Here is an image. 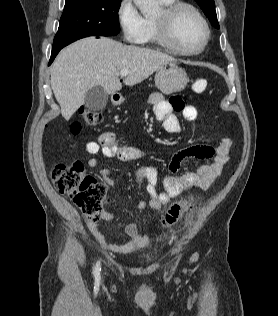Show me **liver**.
Here are the masks:
<instances>
[{
  "label": "liver",
  "instance_id": "obj_1",
  "mask_svg": "<svg viewBox=\"0 0 278 316\" xmlns=\"http://www.w3.org/2000/svg\"><path fill=\"white\" fill-rule=\"evenodd\" d=\"M175 59L152 49L124 45L101 37H87L64 48L51 69V87L65 119L84 104L86 92L101 86L107 94L122 89L119 75L129 71L123 83L133 86Z\"/></svg>",
  "mask_w": 278,
  "mask_h": 316
}]
</instances>
